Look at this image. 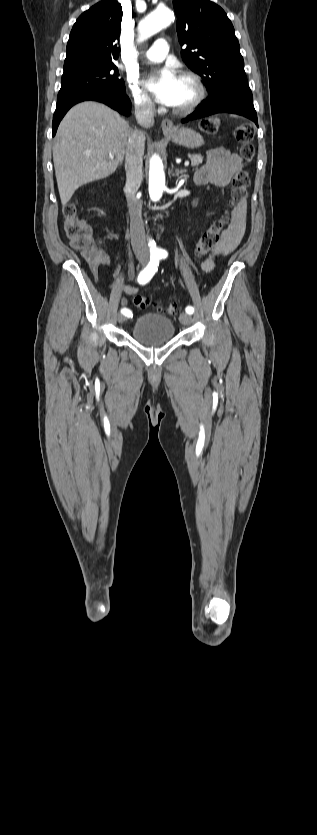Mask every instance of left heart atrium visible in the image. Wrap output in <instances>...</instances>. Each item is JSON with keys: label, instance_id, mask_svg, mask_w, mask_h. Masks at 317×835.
<instances>
[{"label": "left heart atrium", "instance_id": "obj_1", "mask_svg": "<svg viewBox=\"0 0 317 835\" xmlns=\"http://www.w3.org/2000/svg\"><path fill=\"white\" fill-rule=\"evenodd\" d=\"M179 85V77L170 67L164 68L145 81V86L154 94L156 100L164 105L174 106Z\"/></svg>", "mask_w": 317, "mask_h": 835}]
</instances>
